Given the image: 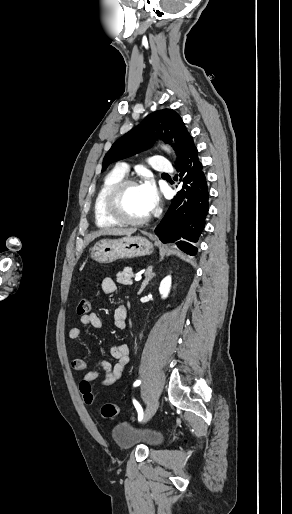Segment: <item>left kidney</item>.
Returning a JSON list of instances; mask_svg holds the SVG:
<instances>
[{
	"mask_svg": "<svg viewBox=\"0 0 292 514\" xmlns=\"http://www.w3.org/2000/svg\"><path fill=\"white\" fill-rule=\"evenodd\" d=\"M171 288V276H166L164 280H162L159 288V292L162 298H167Z\"/></svg>",
	"mask_w": 292,
	"mask_h": 514,
	"instance_id": "left-kidney-1",
	"label": "left kidney"
}]
</instances>
